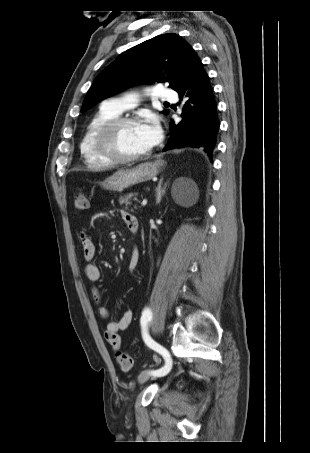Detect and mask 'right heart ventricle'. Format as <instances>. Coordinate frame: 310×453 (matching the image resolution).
<instances>
[{"label":"right heart ventricle","instance_id":"right-heart-ventricle-1","mask_svg":"<svg viewBox=\"0 0 310 453\" xmlns=\"http://www.w3.org/2000/svg\"><path fill=\"white\" fill-rule=\"evenodd\" d=\"M119 114L107 109L104 105L88 122L82 135L79 150L85 164L90 168H108L114 163L109 162L99 155L94 147V137L97 131L108 121L116 118Z\"/></svg>","mask_w":310,"mask_h":453}]
</instances>
